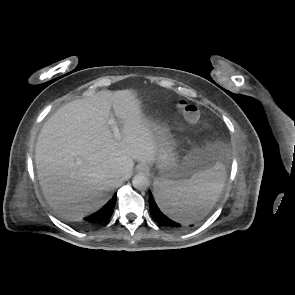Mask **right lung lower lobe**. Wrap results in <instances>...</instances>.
I'll return each mask as SVG.
<instances>
[{"mask_svg": "<svg viewBox=\"0 0 295 295\" xmlns=\"http://www.w3.org/2000/svg\"><path fill=\"white\" fill-rule=\"evenodd\" d=\"M115 203H116V195H114L112 200L107 205H105L104 208H102L101 210L97 211L96 213L88 217H85L84 224L87 226H95V225L107 222L114 210Z\"/></svg>", "mask_w": 295, "mask_h": 295, "instance_id": "right-lung-lower-lobe-1", "label": "right lung lower lobe"}]
</instances>
